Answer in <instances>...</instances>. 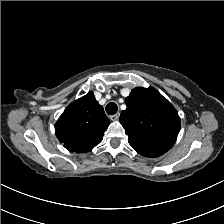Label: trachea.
<instances>
[{
  "label": "trachea",
  "mask_w": 224,
  "mask_h": 224,
  "mask_svg": "<svg viewBox=\"0 0 224 224\" xmlns=\"http://www.w3.org/2000/svg\"><path fill=\"white\" fill-rule=\"evenodd\" d=\"M105 109L109 115H114L117 112L118 107H117L116 103L110 102L106 105Z\"/></svg>",
  "instance_id": "obj_1"
}]
</instances>
